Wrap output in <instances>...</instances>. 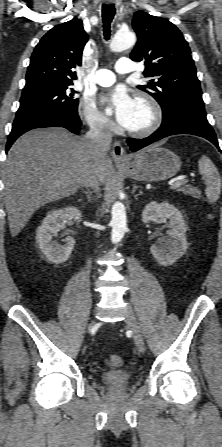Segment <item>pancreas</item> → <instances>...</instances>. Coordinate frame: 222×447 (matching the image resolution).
Masks as SVG:
<instances>
[{"mask_svg":"<svg viewBox=\"0 0 222 447\" xmlns=\"http://www.w3.org/2000/svg\"><path fill=\"white\" fill-rule=\"evenodd\" d=\"M177 191L178 192H182L185 195H190V196H192L193 198H196V199H200L201 198V191L198 190L197 188L189 186V185L183 186V187L177 189Z\"/></svg>","mask_w":222,"mask_h":447,"instance_id":"obj_1","label":"pancreas"}]
</instances>
